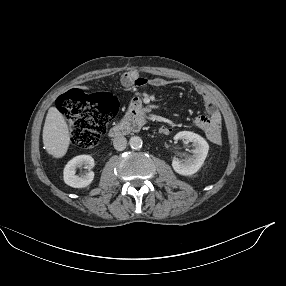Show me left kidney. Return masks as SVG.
Listing matches in <instances>:
<instances>
[{
    "mask_svg": "<svg viewBox=\"0 0 286 286\" xmlns=\"http://www.w3.org/2000/svg\"><path fill=\"white\" fill-rule=\"evenodd\" d=\"M174 139L192 142L195 147L192 150L193 155L187 158L184 162H181L176 158L172 161L174 171L183 176L193 175L201 168L208 154V143L200 135L190 131L179 132L175 135Z\"/></svg>",
    "mask_w": 286,
    "mask_h": 286,
    "instance_id": "5707ae66",
    "label": "left kidney"
}]
</instances>
